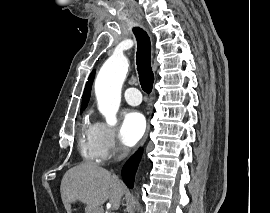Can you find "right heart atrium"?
Listing matches in <instances>:
<instances>
[{"label": "right heart atrium", "instance_id": "right-heart-atrium-1", "mask_svg": "<svg viewBox=\"0 0 270 213\" xmlns=\"http://www.w3.org/2000/svg\"><path fill=\"white\" fill-rule=\"evenodd\" d=\"M100 132V143L104 152V159L119 156L123 148L116 140V130L106 123H98Z\"/></svg>", "mask_w": 270, "mask_h": 213}]
</instances>
